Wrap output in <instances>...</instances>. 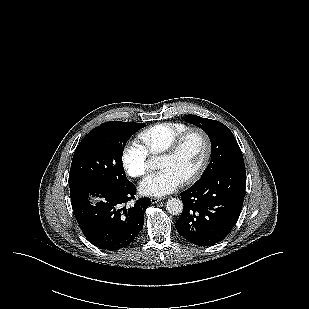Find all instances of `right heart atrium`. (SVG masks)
I'll return each instance as SVG.
<instances>
[{"label":"right heart atrium","mask_w":309,"mask_h":309,"mask_svg":"<svg viewBox=\"0 0 309 309\" xmlns=\"http://www.w3.org/2000/svg\"><path fill=\"white\" fill-rule=\"evenodd\" d=\"M122 163L126 172L134 178L142 177L148 170V153L145 148L135 142H129L122 152Z\"/></svg>","instance_id":"d8ad5b80"}]
</instances>
